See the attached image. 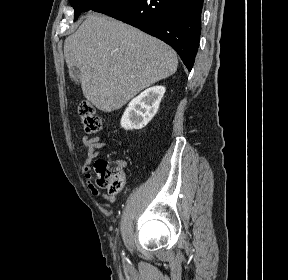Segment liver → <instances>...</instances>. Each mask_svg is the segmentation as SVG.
I'll use <instances>...</instances> for the list:
<instances>
[{
  "label": "liver",
  "instance_id": "6515ba94",
  "mask_svg": "<svg viewBox=\"0 0 288 280\" xmlns=\"http://www.w3.org/2000/svg\"><path fill=\"white\" fill-rule=\"evenodd\" d=\"M70 68L80 70L73 81L96 108H121L143 89L173 75L176 52L146 33L99 13H89L64 42Z\"/></svg>",
  "mask_w": 288,
  "mask_h": 280
}]
</instances>
